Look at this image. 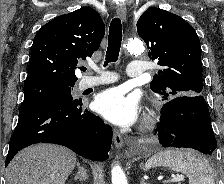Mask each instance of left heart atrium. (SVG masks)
<instances>
[{
	"mask_svg": "<svg viewBox=\"0 0 224 184\" xmlns=\"http://www.w3.org/2000/svg\"><path fill=\"white\" fill-rule=\"evenodd\" d=\"M95 110L105 119L119 126L133 124L138 116V99L125 95L119 88L101 92L94 101Z\"/></svg>",
	"mask_w": 224,
	"mask_h": 184,
	"instance_id": "1",
	"label": "left heart atrium"
}]
</instances>
